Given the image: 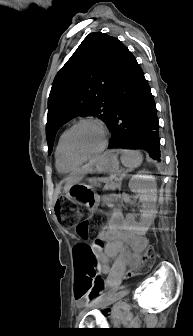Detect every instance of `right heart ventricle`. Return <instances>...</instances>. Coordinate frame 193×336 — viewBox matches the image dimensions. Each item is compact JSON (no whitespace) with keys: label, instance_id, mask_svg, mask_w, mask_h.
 <instances>
[{"label":"right heart ventricle","instance_id":"right-heart-ventricle-1","mask_svg":"<svg viewBox=\"0 0 193 336\" xmlns=\"http://www.w3.org/2000/svg\"><path fill=\"white\" fill-rule=\"evenodd\" d=\"M63 137L62 133L58 139L56 149H55V162L58 171L62 174H70L76 172L82 162H72L68 160L63 151Z\"/></svg>","mask_w":193,"mask_h":336}]
</instances>
